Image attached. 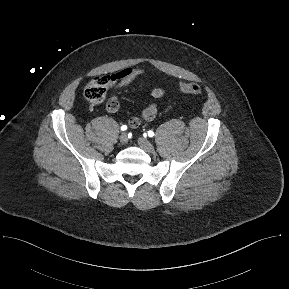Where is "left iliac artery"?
Here are the masks:
<instances>
[{
    "instance_id": "obj_1",
    "label": "left iliac artery",
    "mask_w": 289,
    "mask_h": 289,
    "mask_svg": "<svg viewBox=\"0 0 289 289\" xmlns=\"http://www.w3.org/2000/svg\"><path fill=\"white\" fill-rule=\"evenodd\" d=\"M147 134H148V136H149V137H153V136H154V132H153V131H151V130H150V131H148V132H147Z\"/></svg>"
}]
</instances>
